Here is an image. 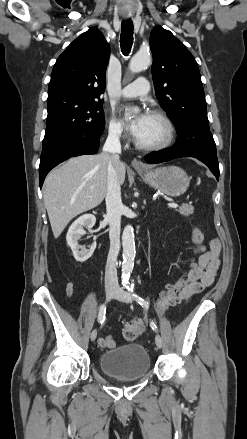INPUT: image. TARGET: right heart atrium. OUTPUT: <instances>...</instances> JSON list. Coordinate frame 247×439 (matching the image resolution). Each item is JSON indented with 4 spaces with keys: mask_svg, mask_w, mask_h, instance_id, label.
<instances>
[{
    "mask_svg": "<svg viewBox=\"0 0 247 439\" xmlns=\"http://www.w3.org/2000/svg\"><path fill=\"white\" fill-rule=\"evenodd\" d=\"M108 135L113 139H122L125 137V130L121 121L114 115L110 117L107 126Z\"/></svg>",
    "mask_w": 247,
    "mask_h": 439,
    "instance_id": "right-heart-atrium-1",
    "label": "right heart atrium"
}]
</instances>
